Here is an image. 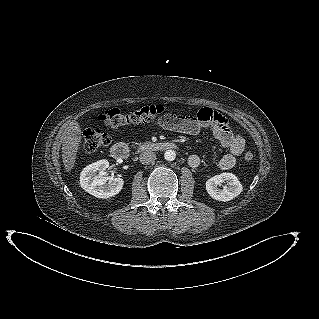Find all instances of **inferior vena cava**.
Wrapping results in <instances>:
<instances>
[{
  "label": "inferior vena cava",
  "instance_id": "obj_1",
  "mask_svg": "<svg viewBox=\"0 0 319 319\" xmlns=\"http://www.w3.org/2000/svg\"><path fill=\"white\" fill-rule=\"evenodd\" d=\"M139 158H140L139 160H140V162L142 164L148 165V164H151V163H153L155 161L156 154L154 152H152V151H148L147 150V151L142 152L140 154Z\"/></svg>",
  "mask_w": 319,
  "mask_h": 319
}]
</instances>
